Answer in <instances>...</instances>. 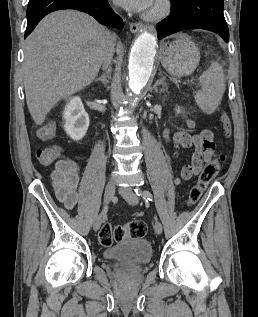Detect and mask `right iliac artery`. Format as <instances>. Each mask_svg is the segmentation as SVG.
Listing matches in <instances>:
<instances>
[{"label": "right iliac artery", "instance_id": "82829eb1", "mask_svg": "<svg viewBox=\"0 0 258 317\" xmlns=\"http://www.w3.org/2000/svg\"><path fill=\"white\" fill-rule=\"evenodd\" d=\"M107 211H108V207H105V209L102 212V215L106 214Z\"/></svg>", "mask_w": 258, "mask_h": 317}]
</instances>
